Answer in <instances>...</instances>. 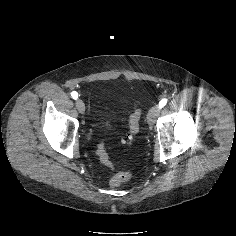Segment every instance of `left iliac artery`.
Listing matches in <instances>:
<instances>
[{"label":"left iliac artery","instance_id":"left-iliac-artery-1","mask_svg":"<svg viewBox=\"0 0 236 236\" xmlns=\"http://www.w3.org/2000/svg\"><path fill=\"white\" fill-rule=\"evenodd\" d=\"M166 103H167V99H166V98L162 99V100L159 102V107H160V108L164 107V106L166 105Z\"/></svg>","mask_w":236,"mask_h":236}]
</instances>
